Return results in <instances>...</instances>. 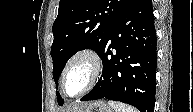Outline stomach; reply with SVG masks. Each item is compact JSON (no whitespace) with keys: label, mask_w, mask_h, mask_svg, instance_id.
<instances>
[{"label":"stomach","mask_w":193,"mask_h":112,"mask_svg":"<svg viewBox=\"0 0 193 112\" xmlns=\"http://www.w3.org/2000/svg\"><path fill=\"white\" fill-rule=\"evenodd\" d=\"M77 112H112V109L102 100L89 102Z\"/></svg>","instance_id":"0dacf381"}]
</instances>
